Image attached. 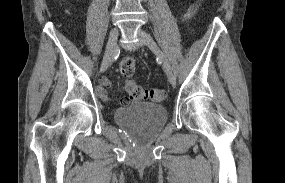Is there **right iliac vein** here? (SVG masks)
Masks as SVG:
<instances>
[{"instance_id": "right-iliac-vein-1", "label": "right iliac vein", "mask_w": 285, "mask_h": 183, "mask_svg": "<svg viewBox=\"0 0 285 183\" xmlns=\"http://www.w3.org/2000/svg\"><path fill=\"white\" fill-rule=\"evenodd\" d=\"M118 35H119L118 29L116 27L112 28L109 33L105 55L103 57V61L101 64V72H104L105 70H107V68L110 66L115 56Z\"/></svg>"}]
</instances>
